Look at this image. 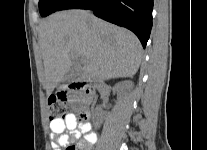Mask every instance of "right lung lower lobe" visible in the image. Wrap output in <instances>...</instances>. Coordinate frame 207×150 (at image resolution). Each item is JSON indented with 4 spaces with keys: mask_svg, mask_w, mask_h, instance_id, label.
I'll list each match as a JSON object with an SVG mask.
<instances>
[{
    "mask_svg": "<svg viewBox=\"0 0 207 150\" xmlns=\"http://www.w3.org/2000/svg\"><path fill=\"white\" fill-rule=\"evenodd\" d=\"M78 8L130 29L145 48L152 28L153 0H66L58 11Z\"/></svg>",
    "mask_w": 207,
    "mask_h": 150,
    "instance_id": "1",
    "label": "right lung lower lobe"
}]
</instances>
